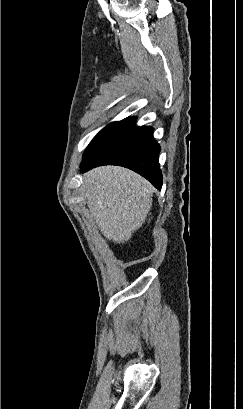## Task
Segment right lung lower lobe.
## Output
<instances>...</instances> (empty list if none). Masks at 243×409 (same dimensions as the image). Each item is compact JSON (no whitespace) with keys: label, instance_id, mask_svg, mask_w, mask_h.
Instances as JSON below:
<instances>
[{"label":"right lung lower lobe","instance_id":"obj_1","mask_svg":"<svg viewBox=\"0 0 243 409\" xmlns=\"http://www.w3.org/2000/svg\"><path fill=\"white\" fill-rule=\"evenodd\" d=\"M134 122V117L126 118L101 130L86 148L81 171L100 165H120L139 173L160 189V146L153 138L152 127H136Z\"/></svg>","mask_w":243,"mask_h":409}]
</instances>
